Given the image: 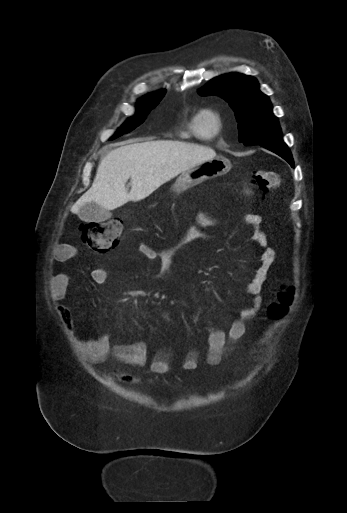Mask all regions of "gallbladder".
<instances>
[{
	"mask_svg": "<svg viewBox=\"0 0 347 513\" xmlns=\"http://www.w3.org/2000/svg\"><path fill=\"white\" fill-rule=\"evenodd\" d=\"M78 216L84 222H101L109 219L111 213L96 203H89L80 208Z\"/></svg>",
	"mask_w": 347,
	"mask_h": 513,
	"instance_id": "obj_1",
	"label": "gallbladder"
}]
</instances>
